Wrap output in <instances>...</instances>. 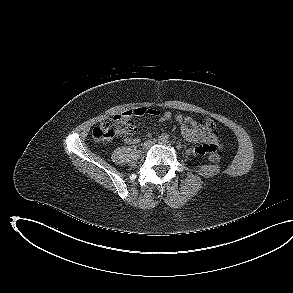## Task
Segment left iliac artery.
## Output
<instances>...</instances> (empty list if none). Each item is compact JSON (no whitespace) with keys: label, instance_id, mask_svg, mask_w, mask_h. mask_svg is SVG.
<instances>
[{"label":"left iliac artery","instance_id":"obj_1","mask_svg":"<svg viewBox=\"0 0 293 293\" xmlns=\"http://www.w3.org/2000/svg\"><path fill=\"white\" fill-rule=\"evenodd\" d=\"M176 148H177L178 150H180V149L182 148V145H181V144H177V145H176Z\"/></svg>","mask_w":293,"mask_h":293}]
</instances>
